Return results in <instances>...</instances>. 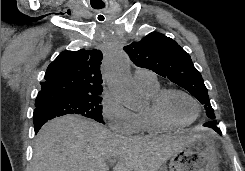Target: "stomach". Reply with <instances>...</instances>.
Returning <instances> with one entry per match:
<instances>
[{"label":"stomach","instance_id":"0dacf381","mask_svg":"<svg viewBox=\"0 0 245 171\" xmlns=\"http://www.w3.org/2000/svg\"><path fill=\"white\" fill-rule=\"evenodd\" d=\"M215 136L201 133L170 157V171H219ZM161 171V169L159 170Z\"/></svg>","mask_w":245,"mask_h":171}]
</instances>
